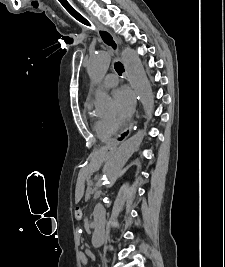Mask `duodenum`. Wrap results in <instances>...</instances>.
<instances>
[{
  "mask_svg": "<svg viewBox=\"0 0 225 267\" xmlns=\"http://www.w3.org/2000/svg\"><path fill=\"white\" fill-rule=\"evenodd\" d=\"M99 226V222L97 220H94L91 222V227L96 229Z\"/></svg>",
  "mask_w": 225,
  "mask_h": 267,
  "instance_id": "410a0bca",
  "label": "duodenum"
}]
</instances>
